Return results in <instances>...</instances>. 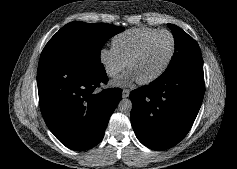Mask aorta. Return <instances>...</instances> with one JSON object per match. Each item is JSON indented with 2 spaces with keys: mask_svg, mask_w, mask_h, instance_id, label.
Returning <instances> with one entry per match:
<instances>
[{
  "mask_svg": "<svg viewBox=\"0 0 237 169\" xmlns=\"http://www.w3.org/2000/svg\"><path fill=\"white\" fill-rule=\"evenodd\" d=\"M118 110L121 113H129L132 110V102L130 99L124 98L118 104Z\"/></svg>",
  "mask_w": 237,
  "mask_h": 169,
  "instance_id": "obj_1",
  "label": "aorta"
}]
</instances>
